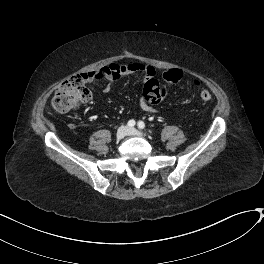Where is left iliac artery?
Masks as SVG:
<instances>
[{
    "label": "left iliac artery",
    "instance_id": "obj_1",
    "mask_svg": "<svg viewBox=\"0 0 264 264\" xmlns=\"http://www.w3.org/2000/svg\"><path fill=\"white\" fill-rule=\"evenodd\" d=\"M137 125H138V128H140V129H144L145 128V124H144L143 121H139Z\"/></svg>",
    "mask_w": 264,
    "mask_h": 264
}]
</instances>
